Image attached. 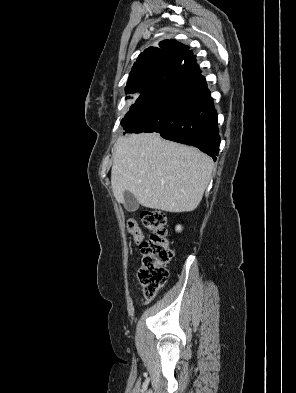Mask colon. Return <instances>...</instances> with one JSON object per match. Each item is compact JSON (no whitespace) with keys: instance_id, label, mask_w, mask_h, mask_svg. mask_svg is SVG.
I'll list each match as a JSON object with an SVG mask.
<instances>
[{"instance_id":"obj_1","label":"colon","mask_w":296,"mask_h":393,"mask_svg":"<svg viewBox=\"0 0 296 393\" xmlns=\"http://www.w3.org/2000/svg\"><path fill=\"white\" fill-rule=\"evenodd\" d=\"M141 220L151 233L148 240L143 239L136 220L129 219L127 229L142 253L138 269L139 283L147 297H154L167 281V265L174 253L168 239L166 215L157 209H146L141 213Z\"/></svg>"}]
</instances>
